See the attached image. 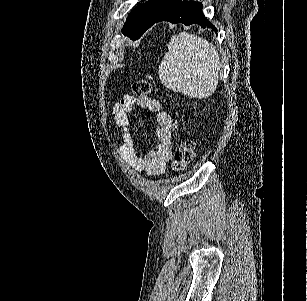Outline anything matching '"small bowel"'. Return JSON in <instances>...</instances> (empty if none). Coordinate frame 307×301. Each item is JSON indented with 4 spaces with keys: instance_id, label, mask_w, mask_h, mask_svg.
I'll return each mask as SVG.
<instances>
[{
    "instance_id": "c3829d8e",
    "label": "small bowel",
    "mask_w": 307,
    "mask_h": 301,
    "mask_svg": "<svg viewBox=\"0 0 307 301\" xmlns=\"http://www.w3.org/2000/svg\"><path fill=\"white\" fill-rule=\"evenodd\" d=\"M135 107L148 109L156 114L157 145L154 150L144 153L136 148L131 134L130 114ZM112 117L120 129L119 143L115 149L122 158L136 171H145L150 176H157L165 171L172 156V117L165 111L158 100L149 96L125 94L113 105Z\"/></svg>"
}]
</instances>
